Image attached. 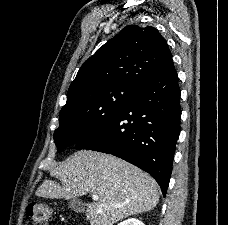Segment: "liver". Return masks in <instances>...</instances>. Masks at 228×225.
Segmentation results:
<instances>
[{
    "instance_id": "1",
    "label": "liver",
    "mask_w": 228,
    "mask_h": 225,
    "mask_svg": "<svg viewBox=\"0 0 228 225\" xmlns=\"http://www.w3.org/2000/svg\"><path fill=\"white\" fill-rule=\"evenodd\" d=\"M55 181H44L35 195L44 199H74L98 195L90 203L86 221L90 225H115L118 221L152 211L159 201V187L134 165L97 151H77L51 173ZM117 205V207H114Z\"/></svg>"
}]
</instances>
